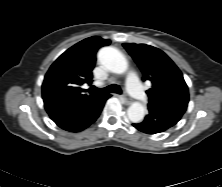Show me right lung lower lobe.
<instances>
[{"mask_svg":"<svg viewBox=\"0 0 222 187\" xmlns=\"http://www.w3.org/2000/svg\"><path fill=\"white\" fill-rule=\"evenodd\" d=\"M110 96L87 103H77L51 93L42 97L48 115L60 128L80 132L98 118Z\"/></svg>","mask_w":222,"mask_h":187,"instance_id":"obj_1","label":"right lung lower lobe"}]
</instances>
